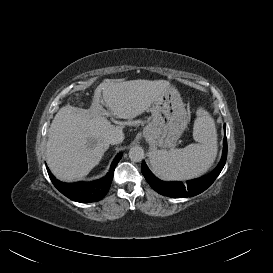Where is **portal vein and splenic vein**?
I'll list each match as a JSON object with an SVG mask.
<instances>
[{
	"label": "portal vein and splenic vein",
	"instance_id": "obj_1",
	"mask_svg": "<svg viewBox=\"0 0 273 273\" xmlns=\"http://www.w3.org/2000/svg\"><path fill=\"white\" fill-rule=\"evenodd\" d=\"M105 112V115H108L109 113L108 112H106V111H104Z\"/></svg>",
	"mask_w": 273,
	"mask_h": 273
}]
</instances>
